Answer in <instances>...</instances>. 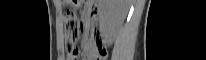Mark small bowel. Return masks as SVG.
Here are the masks:
<instances>
[{
    "label": "small bowel",
    "instance_id": "1",
    "mask_svg": "<svg viewBox=\"0 0 206 60\" xmlns=\"http://www.w3.org/2000/svg\"><path fill=\"white\" fill-rule=\"evenodd\" d=\"M87 55L90 56L93 53V49L90 45L87 46ZM74 58H70V60H73Z\"/></svg>",
    "mask_w": 206,
    "mask_h": 60
}]
</instances>
